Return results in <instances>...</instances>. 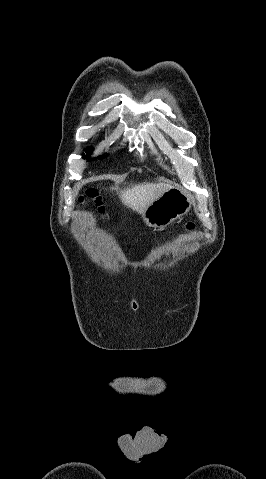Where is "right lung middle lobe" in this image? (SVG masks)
<instances>
[{
	"instance_id": "obj_1",
	"label": "right lung middle lobe",
	"mask_w": 266,
	"mask_h": 479,
	"mask_svg": "<svg viewBox=\"0 0 266 479\" xmlns=\"http://www.w3.org/2000/svg\"><path fill=\"white\" fill-rule=\"evenodd\" d=\"M91 152H92V149H90V148L87 149V150H86L87 155H86V156L83 155V157L87 158V157L91 154Z\"/></svg>"
}]
</instances>
